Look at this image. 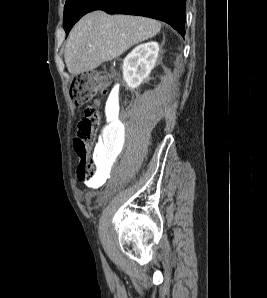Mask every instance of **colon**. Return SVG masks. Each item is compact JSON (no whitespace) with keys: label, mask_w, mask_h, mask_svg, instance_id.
<instances>
[{"label":"colon","mask_w":267,"mask_h":298,"mask_svg":"<svg viewBox=\"0 0 267 298\" xmlns=\"http://www.w3.org/2000/svg\"><path fill=\"white\" fill-rule=\"evenodd\" d=\"M109 81L102 74L84 72L77 75L69 88V96L75 107L89 102L94 96L106 93ZM101 121L97 105L86 109L84 117L78 123L77 136L74 138V150L78 157V177L81 181H92L97 177V158L89 152V143L94 141Z\"/></svg>","instance_id":"1"}]
</instances>
